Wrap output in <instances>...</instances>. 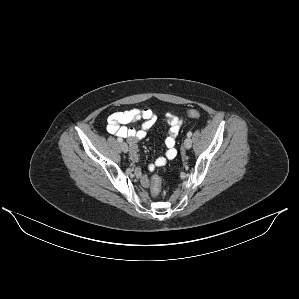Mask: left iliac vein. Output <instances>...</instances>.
<instances>
[{
  "mask_svg": "<svg viewBox=\"0 0 299 299\" xmlns=\"http://www.w3.org/2000/svg\"><path fill=\"white\" fill-rule=\"evenodd\" d=\"M183 145L185 149H190L192 146V140L190 138H186Z\"/></svg>",
  "mask_w": 299,
  "mask_h": 299,
  "instance_id": "1",
  "label": "left iliac vein"
}]
</instances>
